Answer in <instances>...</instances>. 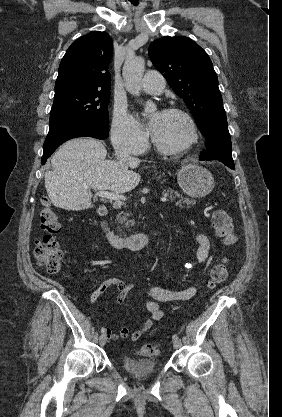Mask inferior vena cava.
I'll use <instances>...</instances> for the list:
<instances>
[{
    "label": "inferior vena cava",
    "instance_id": "inferior-vena-cava-1",
    "mask_svg": "<svg viewBox=\"0 0 282 417\" xmlns=\"http://www.w3.org/2000/svg\"><path fill=\"white\" fill-rule=\"evenodd\" d=\"M115 154L118 160H131L132 156H130L129 152L123 148V146H119V144H115Z\"/></svg>",
    "mask_w": 282,
    "mask_h": 417
}]
</instances>
